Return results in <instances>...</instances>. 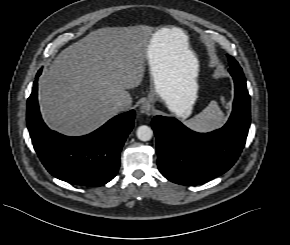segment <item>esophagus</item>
Returning a JSON list of instances; mask_svg holds the SVG:
<instances>
[{
	"mask_svg": "<svg viewBox=\"0 0 290 245\" xmlns=\"http://www.w3.org/2000/svg\"><path fill=\"white\" fill-rule=\"evenodd\" d=\"M140 112L142 114H145V115H148V116L152 115L153 106H152L151 102L150 101H145L140 107Z\"/></svg>",
	"mask_w": 290,
	"mask_h": 245,
	"instance_id": "esophagus-1",
	"label": "esophagus"
}]
</instances>
